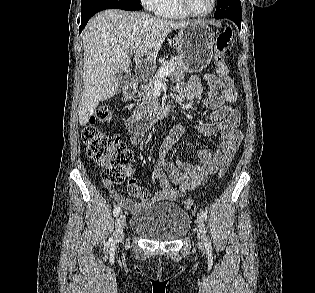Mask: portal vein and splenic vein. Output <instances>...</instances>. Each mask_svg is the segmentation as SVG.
Instances as JSON below:
<instances>
[{
  "mask_svg": "<svg viewBox=\"0 0 315 293\" xmlns=\"http://www.w3.org/2000/svg\"><path fill=\"white\" fill-rule=\"evenodd\" d=\"M138 43L137 44H135V48H137L138 47ZM134 51H135V49H134ZM173 63H171L170 65H167V66H165V67H161L159 70H158V72H157V74H156V77H163V76H167V75H169L170 73H171V71L173 70Z\"/></svg>",
  "mask_w": 315,
  "mask_h": 293,
  "instance_id": "1",
  "label": "portal vein and splenic vein"
}]
</instances>
